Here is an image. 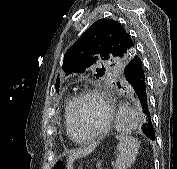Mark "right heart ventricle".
<instances>
[{
    "instance_id": "1",
    "label": "right heart ventricle",
    "mask_w": 177,
    "mask_h": 169,
    "mask_svg": "<svg viewBox=\"0 0 177 169\" xmlns=\"http://www.w3.org/2000/svg\"><path fill=\"white\" fill-rule=\"evenodd\" d=\"M73 100L74 98L70 96L65 100L64 103V109H63L64 130L66 135L69 137V139H71L74 142H79L72 129L71 119H70V111H71Z\"/></svg>"
}]
</instances>
